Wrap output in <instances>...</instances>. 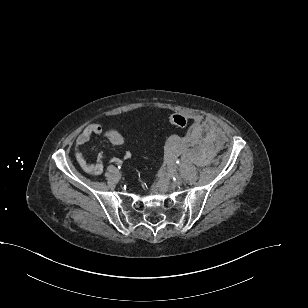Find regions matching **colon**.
Listing matches in <instances>:
<instances>
[{
  "mask_svg": "<svg viewBox=\"0 0 308 308\" xmlns=\"http://www.w3.org/2000/svg\"><path fill=\"white\" fill-rule=\"evenodd\" d=\"M170 124L176 127H184L187 124V118L179 113H174L170 116Z\"/></svg>",
  "mask_w": 308,
  "mask_h": 308,
  "instance_id": "5ec220e1",
  "label": "colon"
}]
</instances>
